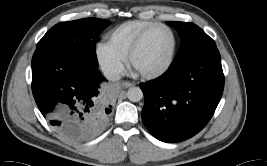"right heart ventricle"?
<instances>
[{
    "instance_id": "e07e8e85",
    "label": "right heart ventricle",
    "mask_w": 267,
    "mask_h": 166,
    "mask_svg": "<svg viewBox=\"0 0 267 166\" xmlns=\"http://www.w3.org/2000/svg\"><path fill=\"white\" fill-rule=\"evenodd\" d=\"M155 24L157 23L149 20H131L122 23L110 32L108 43L124 58L136 39Z\"/></svg>"
}]
</instances>
